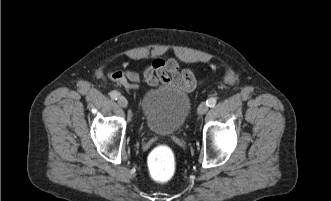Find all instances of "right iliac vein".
Listing matches in <instances>:
<instances>
[{"label":"right iliac vein","mask_w":331,"mask_h":201,"mask_svg":"<svg viewBox=\"0 0 331 201\" xmlns=\"http://www.w3.org/2000/svg\"><path fill=\"white\" fill-rule=\"evenodd\" d=\"M118 104L123 107L126 108L128 106V101L124 96H119L118 98Z\"/></svg>","instance_id":"63e3f726"}]
</instances>
